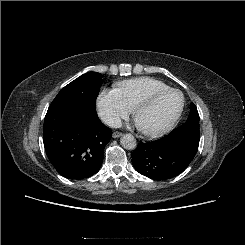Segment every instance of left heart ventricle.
Returning a JSON list of instances; mask_svg holds the SVG:
<instances>
[{
    "instance_id": "obj_1",
    "label": "left heart ventricle",
    "mask_w": 245,
    "mask_h": 245,
    "mask_svg": "<svg viewBox=\"0 0 245 245\" xmlns=\"http://www.w3.org/2000/svg\"><path fill=\"white\" fill-rule=\"evenodd\" d=\"M180 105L181 96L178 93H167L141 107L136 116V123L143 130L158 129L176 114Z\"/></svg>"
}]
</instances>
